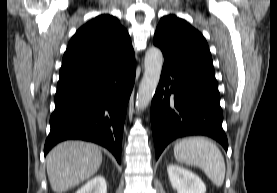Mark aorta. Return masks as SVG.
Instances as JSON below:
<instances>
[{"mask_svg":"<svg viewBox=\"0 0 277 193\" xmlns=\"http://www.w3.org/2000/svg\"><path fill=\"white\" fill-rule=\"evenodd\" d=\"M163 54L157 47H151L145 54L144 74L136 97V107L145 109L151 102L159 83L163 66Z\"/></svg>","mask_w":277,"mask_h":193,"instance_id":"1","label":"aorta"}]
</instances>
